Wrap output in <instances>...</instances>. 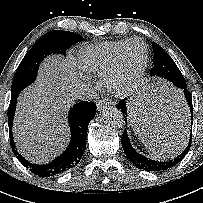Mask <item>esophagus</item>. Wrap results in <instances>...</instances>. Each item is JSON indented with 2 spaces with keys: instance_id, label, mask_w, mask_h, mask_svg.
Here are the masks:
<instances>
[{
  "instance_id": "esophagus-1",
  "label": "esophagus",
  "mask_w": 203,
  "mask_h": 203,
  "mask_svg": "<svg viewBox=\"0 0 203 203\" xmlns=\"http://www.w3.org/2000/svg\"><path fill=\"white\" fill-rule=\"evenodd\" d=\"M109 105H111V102H109L108 100H106V99L99 100L98 103H97V109L99 111H101V110L105 109Z\"/></svg>"
}]
</instances>
